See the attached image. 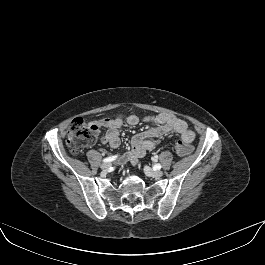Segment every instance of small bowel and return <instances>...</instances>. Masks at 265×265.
I'll use <instances>...</instances> for the list:
<instances>
[{
    "mask_svg": "<svg viewBox=\"0 0 265 265\" xmlns=\"http://www.w3.org/2000/svg\"><path fill=\"white\" fill-rule=\"evenodd\" d=\"M144 121L149 123L151 128L133 136L131 151L120 159V163L129 162L132 165H137L138 159L147 152L154 150L158 145V139L170 132L178 133L180 139L185 143H191L195 138L194 132L189 129L187 123L176 116L161 113L145 117ZM124 122L130 126H135L139 123V118L134 114L118 115L113 118L97 120L93 124L97 128L106 130L101 142L108 144L111 148H117L120 145L119 128Z\"/></svg>",
    "mask_w": 265,
    "mask_h": 265,
    "instance_id": "obj_1",
    "label": "small bowel"
}]
</instances>
